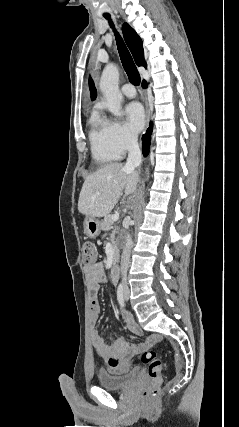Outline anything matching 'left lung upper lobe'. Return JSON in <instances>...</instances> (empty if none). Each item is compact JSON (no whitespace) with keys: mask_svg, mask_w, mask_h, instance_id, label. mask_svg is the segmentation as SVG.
I'll return each instance as SVG.
<instances>
[{"mask_svg":"<svg viewBox=\"0 0 239 427\" xmlns=\"http://www.w3.org/2000/svg\"><path fill=\"white\" fill-rule=\"evenodd\" d=\"M89 87L91 92V99L94 100L97 96L96 88L91 78H89Z\"/></svg>","mask_w":239,"mask_h":427,"instance_id":"1","label":"left lung upper lobe"}]
</instances>
